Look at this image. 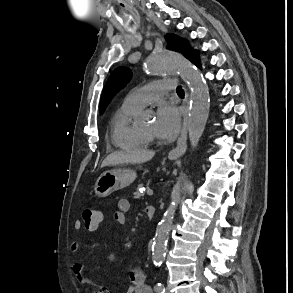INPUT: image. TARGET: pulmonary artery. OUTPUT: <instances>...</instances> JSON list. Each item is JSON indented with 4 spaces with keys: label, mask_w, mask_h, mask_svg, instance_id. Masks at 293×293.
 I'll use <instances>...</instances> for the list:
<instances>
[{
    "label": "pulmonary artery",
    "mask_w": 293,
    "mask_h": 293,
    "mask_svg": "<svg viewBox=\"0 0 293 293\" xmlns=\"http://www.w3.org/2000/svg\"><path fill=\"white\" fill-rule=\"evenodd\" d=\"M174 79L150 82L143 87L132 90L124 99L123 105L142 109L158 97L176 89Z\"/></svg>",
    "instance_id": "1"
}]
</instances>
